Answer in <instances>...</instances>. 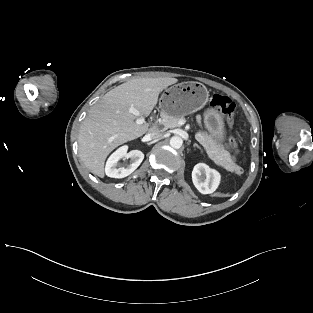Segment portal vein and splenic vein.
<instances>
[{
	"instance_id": "18ae733b",
	"label": "portal vein and splenic vein",
	"mask_w": 313,
	"mask_h": 313,
	"mask_svg": "<svg viewBox=\"0 0 313 313\" xmlns=\"http://www.w3.org/2000/svg\"><path fill=\"white\" fill-rule=\"evenodd\" d=\"M129 113H132L136 116H141V113L139 112V110H137L136 108L134 107H130L129 108ZM145 122V118L144 117H139L137 120H136V123L137 124H143ZM185 123V120L184 119H180L179 122H178V125L181 126Z\"/></svg>"
}]
</instances>
